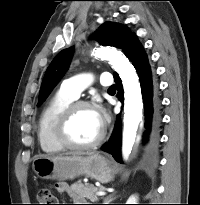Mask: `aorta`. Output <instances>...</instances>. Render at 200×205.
Here are the masks:
<instances>
[{
  "label": "aorta",
  "instance_id": "762f6f07",
  "mask_svg": "<svg viewBox=\"0 0 200 205\" xmlns=\"http://www.w3.org/2000/svg\"><path fill=\"white\" fill-rule=\"evenodd\" d=\"M94 53L95 57L109 62L111 67L119 74L123 83V154L126 155L132 148L138 125L142 121L143 102L139 78L130 61L116 48L101 46L96 48Z\"/></svg>",
  "mask_w": 200,
  "mask_h": 205
}]
</instances>
